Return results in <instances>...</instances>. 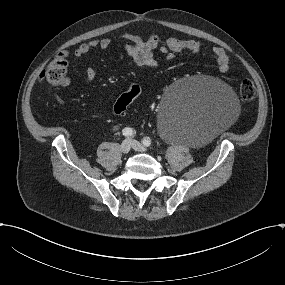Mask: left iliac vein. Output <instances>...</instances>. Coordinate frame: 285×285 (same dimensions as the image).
Segmentation results:
<instances>
[{
	"label": "left iliac vein",
	"instance_id": "1",
	"mask_svg": "<svg viewBox=\"0 0 285 285\" xmlns=\"http://www.w3.org/2000/svg\"><path fill=\"white\" fill-rule=\"evenodd\" d=\"M129 142H130L132 148L137 150V151L145 152L147 150L143 145H141L136 140L131 139V140H129Z\"/></svg>",
	"mask_w": 285,
	"mask_h": 285
}]
</instances>
